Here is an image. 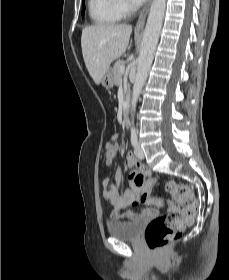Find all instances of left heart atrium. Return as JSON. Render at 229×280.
I'll return each instance as SVG.
<instances>
[{
  "label": "left heart atrium",
  "instance_id": "left-heart-atrium-1",
  "mask_svg": "<svg viewBox=\"0 0 229 280\" xmlns=\"http://www.w3.org/2000/svg\"><path fill=\"white\" fill-rule=\"evenodd\" d=\"M133 1H134V3H136V4H140V3L144 2L145 0H133Z\"/></svg>",
  "mask_w": 229,
  "mask_h": 280
}]
</instances>
